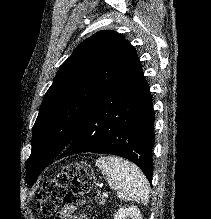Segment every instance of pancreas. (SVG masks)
Listing matches in <instances>:
<instances>
[{
  "label": "pancreas",
  "mask_w": 211,
  "mask_h": 219,
  "mask_svg": "<svg viewBox=\"0 0 211 219\" xmlns=\"http://www.w3.org/2000/svg\"><path fill=\"white\" fill-rule=\"evenodd\" d=\"M98 202H99V204L104 205L105 204V199L102 197Z\"/></svg>",
  "instance_id": "1"
}]
</instances>
